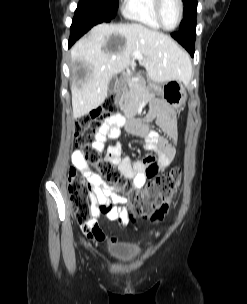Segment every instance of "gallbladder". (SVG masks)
<instances>
[{
    "label": "gallbladder",
    "instance_id": "gallbladder-1",
    "mask_svg": "<svg viewBox=\"0 0 247 304\" xmlns=\"http://www.w3.org/2000/svg\"><path fill=\"white\" fill-rule=\"evenodd\" d=\"M116 81H117V78L112 77V79L110 80V83H109V92H112L114 90Z\"/></svg>",
    "mask_w": 247,
    "mask_h": 304
}]
</instances>
